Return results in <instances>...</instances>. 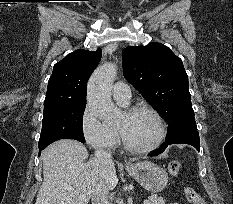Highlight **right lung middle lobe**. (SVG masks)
Instances as JSON below:
<instances>
[{
	"mask_svg": "<svg viewBox=\"0 0 233 204\" xmlns=\"http://www.w3.org/2000/svg\"><path fill=\"white\" fill-rule=\"evenodd\" d=\"M86 101L44 103L39 148L47 147L59 139L85 142L82 132V115Z\"/></svg>",
	"mask_w": 233,
	"mask_h": 204,
	"instance_id": "right-lung-middle-lobe-1",
	"label": "right lung middle lobe"
}]
</instances>
